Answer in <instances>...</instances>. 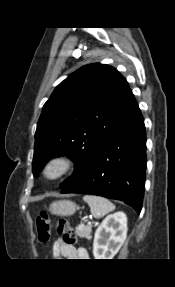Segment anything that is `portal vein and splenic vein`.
<instances>
[{"instance_id": "1", "label": "portal vein and splenic vein", "mask_w": 175, "mask_h": 287, "mask_svg": "<svg viewBox=\"0 0 175 287\" xmlns=\"http://www.w3.org/2000/svg\"><path fill=\"white\" fill-rule=\"evenodd\" d=\"M88 224H91V222L89 221V222H88ZM83 226H84V225H83V224H81V225H80V228H82Z\"/></svg>"}]
</instances>
